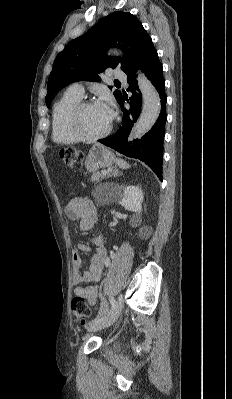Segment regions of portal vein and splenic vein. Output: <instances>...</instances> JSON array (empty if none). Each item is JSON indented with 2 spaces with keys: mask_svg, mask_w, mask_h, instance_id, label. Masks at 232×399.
Masks as SVG:
<instances>
[{
  "mask_svg": "<svg viewBox=\"0 0 232 399\" xmlns=\"http://www.w3.org/2000/svg\"><path fill=\"white\" fill-rule=\"evenodd\" d=\"M108 172H110V170H102L101 174H105V176H106V174H108Z\"/></svg>",
  "mask_w": 232,
  "mask_h": 399,
  "instance_id": "18ae733b",
  "label": "portal vein and splenic vein"
}]
</instances>
